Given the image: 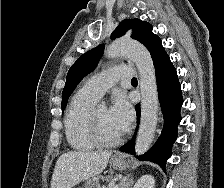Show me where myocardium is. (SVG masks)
<instances>
[{
  "label": "myocardium",
  "instance_id": "f54148a6",
  "mask_svg": "<svg viewBox=\"0 0 224 188\" xmlns=\"http://www.w3.org/2000/svg\"><path fill=\"white\" fill-rule=\"evenodd\" d=\"M96 110L97 108H93L88 117V127H89V131L92 138L100 146L110 147V146L118 145L123 140V134L112 139L105 137L102 134L100 126H99Z\"/></svg>",
  "mask_w": 224,
  "mask_h": 188
}]
</instances>
